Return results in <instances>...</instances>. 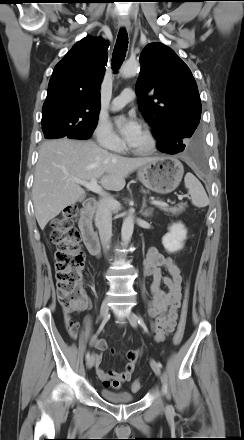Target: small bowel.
<instances>
[{"mask_svg": "<svg viewBox=\"0 0 244 440\" xmlns=\"http://www.w3.org/2000/svg\"><path fill=\"white\" fill-rule=\"evenodd\" d=\"M166 270L169 276H164L162 270ZM145 274L152 278L150 287L152 300L149 303V316L155 320L151 323L152 334L156 341H162L167 335L171 334L176 326L178 311L181 306L182 297V277L181 270L177 263L170 257L161 254L156 247H150L147 250L144 261ZM162 284L167 288L164 290ZM64 323L69 335L76 338L78 325L75 321L65 317ZM74 325V326H73ZM84 325L90 344L94 346L99 353H95L94 364L98 378L104 383L107 380H117L120 383L128 382L132 379L137 360L141 355L140 350H128L120 352L127 359V363L122 372L114 370L105 371L101 367L102 352L108 349L107 342L104 339H95L91 335V320L86 317ZM115 353L114 350H111Z\"/></svg>", "mask_w": 244, "mask_h": 440, "instance_id": "obj_1", "label": "small bowel"}]
</instances>
